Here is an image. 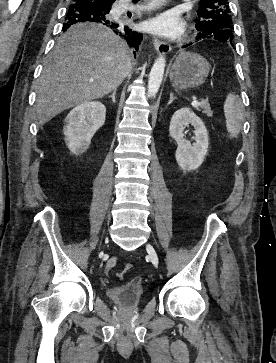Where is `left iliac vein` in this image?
<instances>
[{"label":"left iliac vein","instance_id":"1","mask_svg":"<svg viewBox=\"0 0 276 363\" xmlns=\"http://www.w3.org/2000/svg\"><path fill=\"white\" fill-rule=\"evenodd\" d=\"M147 252L149 254V257L152 261V263L154 264V266H158V263H159V260H158V256H157V253L155 251V249L153 248L152 245L148 244L147 245Z\"/></svg>","mask_w":276,"mask_h":363}]
</instances>
